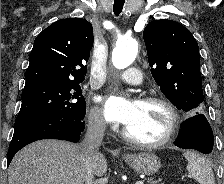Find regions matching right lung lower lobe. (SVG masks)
<instances>
[{
  "mask_svg": "<svg viewBox=\"0 0 224 184\" xmlns=\"http://www.w3.org/2000/svg\"><path fill=\"white\" fill-rule=\"evenodd\" d=\"M83 130V119L45 116L25 122L14 129L7 155V165L10 164L16 152L31 142L41 139L78 142Z\"/></svg>",
  "mask_w": 224,
  "mask_h": 184,
  "instance_id": "98d812e1",
  "label": "right lung lower lobe"
}]
</instances>
